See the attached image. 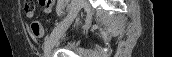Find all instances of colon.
Returning <instances> with one entry per match:
<instances>
[{
	"label": "colon",
	"instance_id": "5ec220e1",
	"mask_svg": "<svg viewBox=\"0 0 172 57\" xmlns=\"http://www.w3.org/2000/svg\"><path fill=\"white\" fill-rule=\"evenodd\" d=\"M25 10L27 12H32L34 10V4L33 2L29 1ZM30 33L33 37L35 38H40L43 35V29L39 22L37 21H32L30 24Z\"/></svg>",
	"mask_w": 172,
	"mask_h": 57
}]
</instances>
